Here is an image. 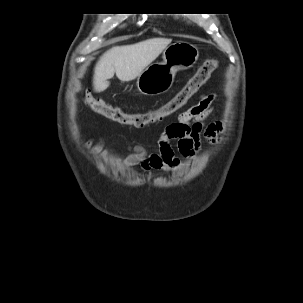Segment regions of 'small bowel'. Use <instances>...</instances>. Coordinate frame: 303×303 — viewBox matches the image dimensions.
Listing matches in <instances>:
<instances>
[{"label": "small bowel", "instance_id": "c3829d8e", "mask_svg": "<svg viewBox=\"0 0 303 303\" xmlns=\"http://www.w3.org/2000/svg\"><path fill=\"white\" fill-rule=\"evenodd\" d=\"M213 96L203 94L198 102L189 107L177 117V120L169 124L158 140V153H147L142 145H134L127 148L130 151L124 157H121L123 168L140 165L142 170H159L165 173H171L178 169L181 160L176 156L172 140H176V146L179 153L184 156H192L201 150L204 142L215 141V128L206 127L204 121L211 114V104ZM91 155H99L104 158L114 151L113 148L104 146L101 140L90 143Z\"/></svg>", "mask_w": 303, "mask_h": 303}]
</instances>
